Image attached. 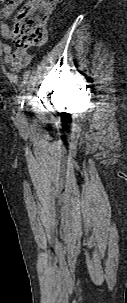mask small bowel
Returning <instances> with one entry per match:
<instances>
[{"mask_svg": "<svg viewBox=\"0 0 127 303\" xmlns=\"http://www.w3.org/2000/svg\"><path fill=\"white\" fill-rule=\"evenodd\" d=\"M22 2L23 0H12L9 5L0 11V31L4 38L11 36V30L6 21L12 17ZM2 51L4 53V60L12 72H19L30 63V56L23 49H13L10 45L3 44Z\"/></svg>", "mask_w": 127, "mask_h": 303, "instance_id": "1", "label": "small bowel"}]
</instances>
